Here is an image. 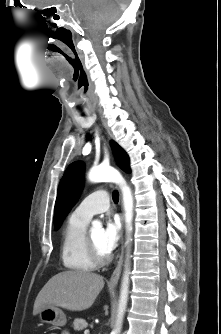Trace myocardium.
<instances>
[{
  "label": "myocardium",
  "mask_w": 221,
  "mask_h": 334,
  "mask_svg": "<svg viewBox=\"0 0 221 334\" xmlns=\"http://www.w3.org/2000/svg\"><path fill=\"white\" fill-rule=\"evenodd\" d=\"M85 240L88 253L96 265H106L110 262L112 258L111 254L102 253L95 245L94 241L90 236V233L86 232Z\"/></svg>",
  "instance_id": "1"
}]
</instances>
